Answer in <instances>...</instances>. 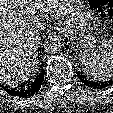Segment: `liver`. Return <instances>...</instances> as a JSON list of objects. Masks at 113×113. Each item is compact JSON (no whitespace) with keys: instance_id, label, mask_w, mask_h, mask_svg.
I'll use <instances>...</instances> for the list:
<instances>
[{"instance_id":"6515ba94","label":"liver","mask_w":113,"mask_h":113,"mask_svg":"<svg viewBox=\"0 0 113 113\" xmlns=\"http://www.w3.org/2000/svg\"><path fill=\"white\" fill-rule=\"evenodd\" d=\"M70 13L69 0H0V83L16 87L28 80L38 64L35 24Z\"/></svg>"}]
</instances>
